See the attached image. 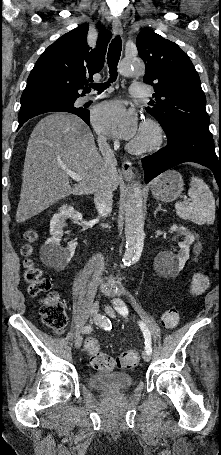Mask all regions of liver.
I'll return each instance as SVG.
<instances>
[{
  "label": "liver",
  "mask_w": 221,
  "mask_h": 455,
  "mask_svg": "<svg viewBox=\"0 0 221 455\" xmlns=\"http://www.w3.org/2000/svg\"><path fill=\"white\" fill-rule=\"evenodd\" d=\"M67 170L82 177L74 187ZM16 221L22 223L71 195L92 194L100 183L119 185V175L104 170L93 134L74 114L56 112L34 127L26 150Z\"/></svg>",
  "instance_id": "6515ba94"
}]
</instances>
